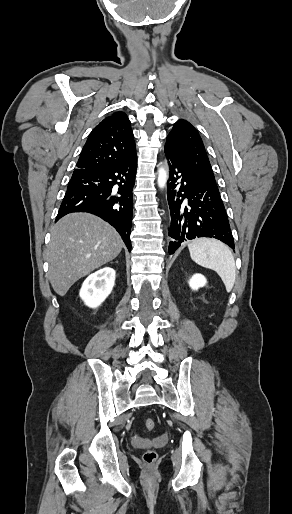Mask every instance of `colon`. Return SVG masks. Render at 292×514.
I'll return each instance as SVG.
<instances>
[{
  "mask_svg": "<svg viewBox=\"0 0 292 514\" xmlns=\"http://www.w3.org/2000/svg\"><path fill=\"white\" fill-rule=\"evenodd\" d=\"M144 426L148 431H153L156 427L155 420L151 417H146L144 420ZM157 453L153 449H146L143 454V460L147 464H152L156 461Z\"/></svg>",
  "mask_w": 292,
  "mask_h": 514,
  "instance_id": "5ec220e1",
  "label": "colon"
}]
</instances>
